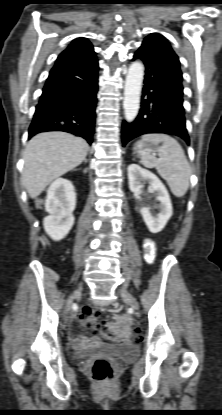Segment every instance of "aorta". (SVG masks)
I'll use <instances>...</instances> for the list:
<instances>
[{
  "instance_id": "obj_1",
  "label": "aorta",
  "mask_w": 222,
  "mask_h": 415,
  "mask_svg": "<svg viewBox=\"0 0 222 415\" xmlns=\"http://www.w3.org/2000/svg\"><path fill=\"white\" fill-rule=\"evenodd\" d=\"M144 66L140 61L133 62L126 76L124 88V115L128 122H132L139 111Z\"/></svg>"
}]
</instances>
